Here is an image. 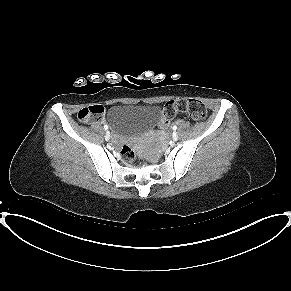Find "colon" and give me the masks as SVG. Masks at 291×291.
Here are the masks:
<instances>
[{"label":"colon","mask_w":291,"mask_h":291,"mask_svg":"<svg viewBox=\"0 0 291 291\" xmlns=\"http://www.w3.org/2000/svg\"><path fill=\"white\" fill-rule=\"evenodd\" d=\"M186 113L195 120L206 118V108L204 104L196 99H175L168 101L162 109V119L159 128L167 129L170 119L176 114ZM104 117V108L101 105H91L84 107L78 112V119L84 122L100 121ZM121 157L125 162H131L134 158L133 149L129 145H124L121 149Z\"/></svg>","instance_id":"5ec220e1"}]
</instances>
